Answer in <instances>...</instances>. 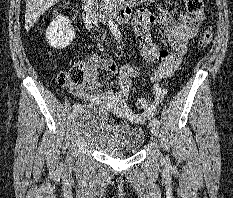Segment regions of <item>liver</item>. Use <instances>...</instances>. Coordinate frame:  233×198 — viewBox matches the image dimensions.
<instances>
[{
  "label": "liver",
  "mask_w": 233,
  "mask_h": 198,
  "mask_svg": "<svg viewBox=\"0 0 233 198\" xmlns=\"http://www.w3.org/2000/svg\"><path fill=\"white\" fill-rule=\"evenodd\" d=\"M60 0H26L25 30L30 31L38 18Z\"/></svg>",
  "instance_id": "6515ba94"
}]
</instances>
